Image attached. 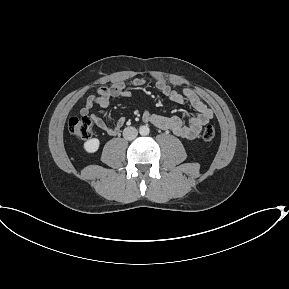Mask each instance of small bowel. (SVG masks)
<instances>
[{"label": "small bowel", "instance_id": "obj_1", "mask_svg": "<svg viewBox=\"0 0 289 289\" xmlns=\"http://www.w3.org/2000/svg\"><path fill=\"white\" fill-rule=\"evenodd\" d=\"M145 85V79L135 78L130 81H117L109 87H100L98 88L96 94L88 96L80 113L83 116H87L95 105L107 107L111 99L132 97V92L130 91L131 88H139ZM155 87L161 94L177 104L188 103L197 112V114L191 117L188 123H185L177 116L168 117L150 113L149 111L145 110L143 113V120L160 129L168 130L177 137L189 140L196 138L202 127L212 119V110L190 88L175 90L163 80H158ZM91 117L95 124L102 130L106 131L109 135H116L126 122L125 117H120L116 120L115 124L111 126L108 125L101 117L96 116L95 114H91Z\"/></svg>", "mask_w": 289, "mask_h": 289}]
</instances>
